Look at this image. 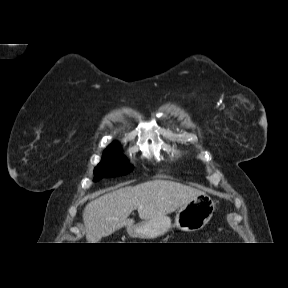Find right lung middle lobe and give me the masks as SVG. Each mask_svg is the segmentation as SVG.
Returning <instances> with one entry per match:
<instances>
[{"label":"right lung middle lobe","mask_w":288,"mask_h":288,"mask_svg":"<svg viewBox=\"0 0 288 288\" xmlns=\"http://www.w3.org/2000/svg\"><path fill=\"white\" fill-rule=\"evenodd\" d=\"M133 167L122 157L120 145L113 143L105 150L101 162L94 169V181L104 176H119L131 172Z\"/></svg>","instance_id":"obj_1"}]
</instances>
